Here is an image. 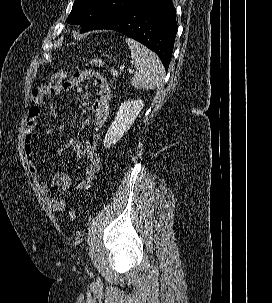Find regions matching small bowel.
<instances>
[{"mask_svg": "<svg viewBox=\"0 0 272 303\" xmlns=\"http://www.w3.org/2000/svg\"><path fill=\"white\" fill-rule=\"evenodd\" d=\"M87 80H93L98 89L96 99L93 103L94 130L85 139H70L58 151V154H62L66 149H72L77 156L87 160L85 175L83 179L79 180L75 185L78 190L89 189L101 169V160L97 153V145L100 139V129L103 127L110 112V102L112 99V92L105 77L92 70L76 72L70 79L63 83L62 89L64 91H70ZM48 92V87H42L33 92L24 129V151L30 174L39 191L46 198L49 207L53 211L62 212L66 208V202L62 198L53 197L52 189L55 187L61 191H66L72 186L73 181L66 172L56 171L53 174L52 186L47 185L41 179L35 157L36 129L41 109ZM46 133H49V131Z\"/></svg>", "mask_w": 272, "mask_h": 303, "instance_id": "small-bowel-1", "label": "small bowel"}]
</instances>
